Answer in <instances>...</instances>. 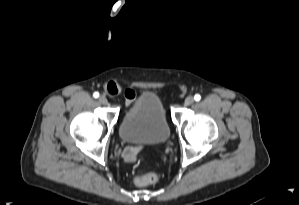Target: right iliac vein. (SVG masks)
Wrapping results in <instances>:
<instances>
[{
  "instance_id": "right-iliac-vein-1",
  "label": "right iliac vein",
  "mask_w": 299,
  "mask_h": 205,
  "mask_svg": "<svg viewBox=\"0 0 299 205\" xmlns=\"http://www.w3.org/2000/svg\"><path fill=\"white\" fill-rule=\"evenodd\" d=\"M99 102L103 105H106L108 103L107 98L104 95H101L99 97Z\"/></svg>"
}]
</instances>
